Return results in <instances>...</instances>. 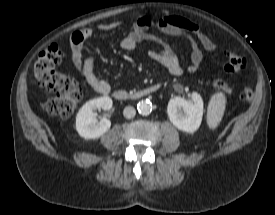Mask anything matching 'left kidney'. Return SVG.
<instances>
[{
  "mask_svg": "<svg viewBox=\"0 0 275 215\" xmlns=\"http://www.w3.org/2000/svg\"><path fill=\"white\" fill-rule=\"evenodd\" d=\"M167 113L171 123L179 130L193 133L199 128L202 121V97L197 92L192 93V101L175 97L169 101Z\"/></svg>",
  "mask_w": 275,
  "mask_h": 215,
  "instance_id": "5707ae66",
  "label": "left kidney"
}]
</instances>
